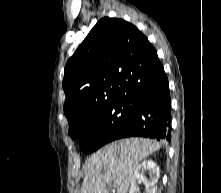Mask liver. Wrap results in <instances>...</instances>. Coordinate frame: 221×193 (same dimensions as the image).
Masks as SVG:
<instances>
[{
	"mask_svg": "<svg viewBox=\"0 0 221 193\" xmlns=\"http://www.w3.org/2000/svg\"><path fill=\"white\" fill-rule=\"evenodd\" d=\"M160 147L146 138H127L104 146L86 163L81 193H127L139 163Z\"/></svg>",
	"mask_w": 221,
	"mask_h": 193,
	"instance_id": "obj_1",
	"label": "liver"
}]
</instances>
